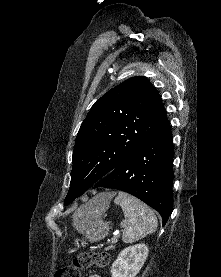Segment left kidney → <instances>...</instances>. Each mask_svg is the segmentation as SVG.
<instances>
[{
	"label": "left kidney",
	"instance_id": "left-kidney-1",
	"mask_svg": "<svg viewBox=\"0 0 221 277\" xmlns=\"http://www.w3.org/2000/svg\"><path fill=\"white\" fill-rule=\"evenodd\" d=\"M148 252L145 244H136L123 249L112 264V277H135L142 268Z\"/></svg>",
	"mask_w": 221,
	"mask_h": 277
}]
</instances>
